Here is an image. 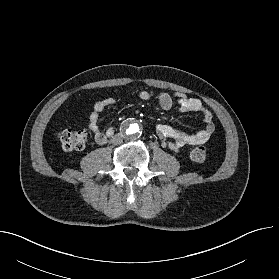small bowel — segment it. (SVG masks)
Instances as JSON below:
<instances>
[{
    "instance_id": "c3829d8e",
    "label": "small bowel",
    "mask_w": 279,
    "mask_h": 279,
    "mask_svg": "<svg viewBox=\"0 0 279 279\" xmlns=\"http://www.w3.org/2000/svg\"><path fill=\"white\" fill-rule=\"evenodd\" d=\"M156 97L160 107L164 111H169L176 102L180 113H199L205 123V127L192 134L184 133L168 124H158L156 133L162 139L163 144L171 150L178 152L180 149L188 146L201 145L206 143L214 133V122L211 111L197 98L188 97L186 94L176 92H159L154 94L150 91H142L139 94L141 100H149ZM117 103L115 98H105L97 101L93 111L89 115L88 127L94 135L98 144H104L108 133H104L99 125L100 114L108 107Z\"/></svg>"
}]
</instances>
